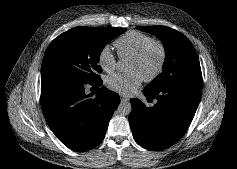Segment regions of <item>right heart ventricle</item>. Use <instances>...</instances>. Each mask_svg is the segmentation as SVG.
Segmentation results:
<instances>
[{
  "mask_svg": "<svg viewBox=\"0 0 237 169\" xmlns=\"http://www.w3.org/2000/svg\"><path fill=\"white\" fill-rule=\"evenodd\" d=\"M153 38L139 31H129L115 40L114 44L120 57H131L140 51Z\"/></svg>",
  "mask_w": 237,
  "mask_h": 169,
  "instance_id": "obj_1",
  "label": "right heart ventricle"
}]
</instances>
